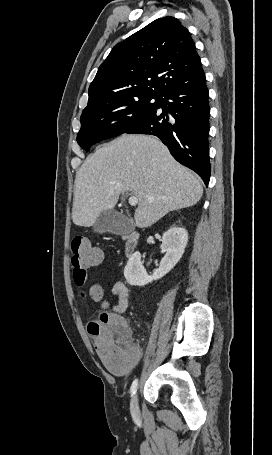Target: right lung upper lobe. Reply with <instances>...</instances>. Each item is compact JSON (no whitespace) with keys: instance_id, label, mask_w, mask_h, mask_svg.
Returning <instances> with one entry per match:
<instances>
[{"instance_id":"cb5924a9","label":"right lung upper lobe","mask_w":272,"mask_h":455,"mask_svg":"<svg viewBox=\"0 0 272 455\" xmlns=\"http://www.w3.org/2000/svg\"><path fill=\"white\" fill-rule=\"evenodd\" d=\"M203 73L189 31L174 17L159 18L114 46L83 112L135 95L161 96Z\"/></svg>"}]
</instances>
